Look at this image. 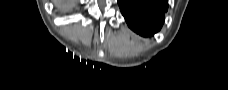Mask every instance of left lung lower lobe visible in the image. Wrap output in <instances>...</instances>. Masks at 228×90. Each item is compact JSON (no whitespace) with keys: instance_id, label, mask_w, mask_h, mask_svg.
Listing matches in <instances>:
<instances>
[{"instance_id":"0a47b994","label":"left lung lower lobe","mask_w":228,"mask_h":90,"mask_svg":"<svg viewBox=\"0 0 228 90\" xmlns=\"http://www.w3.org/2000/svg\"><path fill=\"white\" fill-rule=\"evenodd\" d=\"M129 27L142 36L157 32L165 18L167 0H118Z\"/></svg>"}]
</instances>
